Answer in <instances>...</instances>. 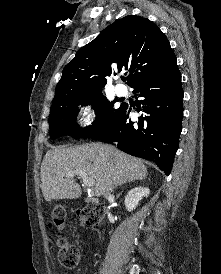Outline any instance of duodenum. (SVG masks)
Instances as JSON below:
<instances>
[{"mask_svg": "<svg viewBox=\"0 0 221 274\" xmlns=\"http://www.w3.org/2000/svg\"><path fill=\"white\" fill-rule=\"evenodd\" d=\"M86 201H87L88 203L96 204V201L93 200V199H86Z\"/></svg>", "mask_w": 221, "mask_h": 274, "instance_id": "410a0bca", "label": "duodenum"}]
</instances>
